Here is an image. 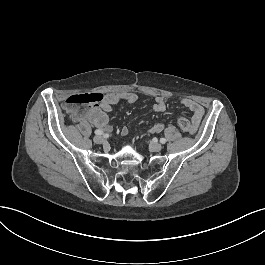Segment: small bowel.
Wrapping results in <instances>:
<instances>
[{"mask_svg":"<svg viewBox=\"0 0 265 265\" xmlns=\"http://www.w3.org/2000/svg\"><path fill=\"white\" fill-rule=\"evenodd\" d=\"M137 99L138 95L134 92H109L104 96L103 100L98 105L90 106L79 112H75L73 117L82 125L91 124L97 128L106 129L108 126V113L114 105L120 103H134ZM167 101L168 98L163 95L156 96L153 105L154 111L163 112L166 109ZM181 104L193 113L192 117L188 119V121L191 126L190 133H194L201 123L204 115V108L198 101L187 97L181 99ZM163 128L164 125L162 123H156L151 128V132L158 133L162 131ZM120 132L121 135L125 137L128 135V128L124 126L121 128Z\"/></svg>","mask_w":265,"mask_h":265,"instance_id":"small-bowel-1","label":"small bowel"}]
</instances>
